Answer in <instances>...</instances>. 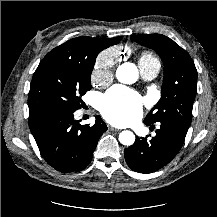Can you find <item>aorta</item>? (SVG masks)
Here are the masks:
<instances>
[{"label": "aorta", "instance_id": "aorta-1", "mask_svg": "<svg viewBox=\"0 0 217 217\" xmlns=\"http://www.w3.org/2000/svg\"><path fill=\"white\" fill-rule=\"evenodd\" d=\"M116 77L121 83L133 84L138 79V69L135 64L125 62L118 67ZM119 141L123 145L130 146L135 142V135L129 130L122 131L119 134Z\"/></svg>", "mask_w": 217, "mask_h": 217}]
</instances>
